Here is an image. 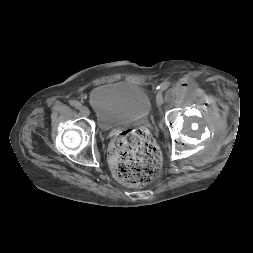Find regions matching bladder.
<instances>
[{"mask_svg":"<svg viewBox=\"0 0 253 253\" xmlns=\"http://www.w3.org/2000/svg\"><path fill=\"white\" fill-rule=\"evenodd\" d=\"M89 102L98 122L104 126L141 120L150 114L152 107L142 86L125 81L96 87Z\"/></svg>","mask_w":253,"mask_h":253,"instance_id":"obj_1","label":"bladder"}]
</instances>
